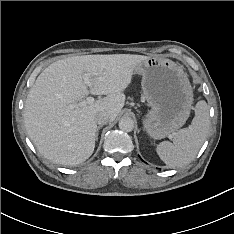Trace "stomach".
<instances>
[{
	"instance_id": "stomach-1",
	"label": "stomach",
	"mask_w": 234,
	"mask_h": 234,
	"mask_svg": "<svg viewBox=\"0 0 234 234\" xmlns=\"http://www.w3.org/2000/svg\"><path fill=\"white\" fill-rule=\"evenodd\" d=\"M135 74L142 76V89L151 110L143 120L144 129L162 139L184 125L190 115L193 90L182 67L166 58H148Z\"/></svg>"
}]
</instances>
